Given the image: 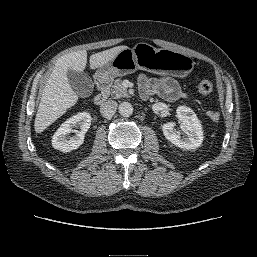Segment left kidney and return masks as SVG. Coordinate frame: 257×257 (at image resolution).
Returning <instances> with one entry per match:
<instances>
[{
	"label": "left kidney",
	"instance_id": "5707ae66",
	"mask_svg": "<svg viewBox=\"0 0 257 257\" xmlns=\"http://www.w3.org/2000/svg\"><path fill=\"white\" fill-rule=\"evenodd\" d=\"M176 113L186 136L182 138L176 133L174 129L175 122H168L162 126L165 138L181 149L193 150L200 147L203 142L202 125L194 111L189 107L180 106L177 108Z\"/></svg>",
	"mask_w": 257,
	"mask_h": 257
}]
</instances>
